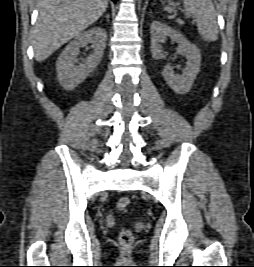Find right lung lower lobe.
Listing matches in <instances>:
<instances>
[{
  "label": "right lung lower lobe",
  "instance_id": "98d812e1",
  "mask_svg": "<svg viewBox=\"0 0 254 267\" xmlns=\"http://www.w3.org/2000/svg\"><path fill=\"white\" fill-rule=\"evenodd\" d=\"M114 3H116L117 0H112Z\"/></svg>",
  "mask_w": 254,
  "mask_h": 267
}]
</instances>
